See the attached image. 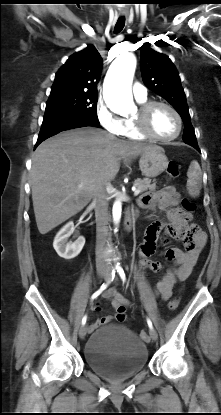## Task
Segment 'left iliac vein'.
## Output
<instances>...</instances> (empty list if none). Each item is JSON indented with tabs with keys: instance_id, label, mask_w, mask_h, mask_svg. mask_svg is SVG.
Returning <instances> with one entry per match:
<instances>
[{
	"instance_id": "4c4485c4",
	"label": "left iliac vein",
	"mask_w": 221,
	"mask_h": 415,
	"mask_svg": "<svg viewBox=\"0 0 221 415\" xmlns=\"http://www.w3.org/2000/svg\"><path fill=\"white\" fill-rule=\"evenodd\" d=\"M149 334L153 341H156L158 339L157 332L153 328L149 330Z\"/></svg>"
}]
</instances>
